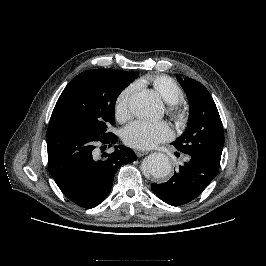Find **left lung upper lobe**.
<instances>
[{
  "mask_svg": "<svg viewBox=\"0 0 266 266\" xmlns=\"http://www.w3.org/2000/svg\"><path fill=\"white\" fill-rule=\"evenodd\" d=\"M177 79L188 97L190 114L186 131L172 144L182 153L219 167L224 132L215 102L201 83L191 78Z\"/></svg>",
  "mask_w": 266,
  "mask_h": 266,
  "instance_id": "5c2ea615",
  "label": "left lung upper lobe"
}]
</instances>
